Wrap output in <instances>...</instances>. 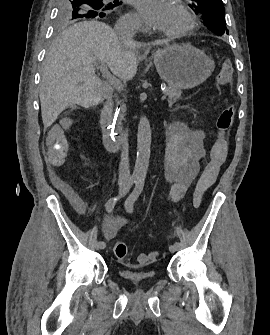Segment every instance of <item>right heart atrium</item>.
Returning a JSON list of instances; mask_svg holds the SVG:
<instances>
[{"label":"right heart atrium","mask_w":270,"mask_h":335,"mask_svg":"<svg viewBox=\"0 0 270 335\" xmlns=\"http://www.w3.org/2000/svg\"><path fill=\"white\" fill-rule=\"evenodd\" d=\"M117 25H138L139 27L138 32H140L143 28V25H142V22L139 16L135 12H132V11L122 16L120 20L118 21Z\"/></svg>","instance_id":"1"}]
</instances>
